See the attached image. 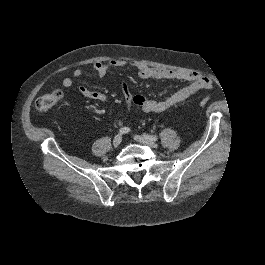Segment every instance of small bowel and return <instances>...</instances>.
Returning <instances> with one entry per match:
<instances>
[{"label":"small bowel","mask_w":265,"mask_h":265,"mask_svg":"<svg viewBox=\"0 0 265 265\" xmlns=\"http://www.w3.org/2000/svg\"><path fill=\"white\" fill-rule=\"evenodd\" d=\"M133 67L137 70L138 76L142 79H173L188 81L189 84L179 89L172 95L162 100L147 98L143 95L132 94L126 83L122 84V91L128 108H140L146 113H162L175 105L187 100L197 92L211 87L209 78L191 71L161 69L146 65L137 61L112 60L108 63L96 62L93 64V70L103 77L110 68ZM82 69H75L73 77L78 78L82 75ZM73 79L66 77L62 81V85L66 88L71 87ZM80 93L91 100L101 103H108V97L99 91L87 88L85 85L79 86Z\"/></svg>","instance_id":"small-bowel-1"}]
</instances>
